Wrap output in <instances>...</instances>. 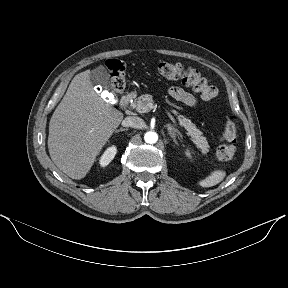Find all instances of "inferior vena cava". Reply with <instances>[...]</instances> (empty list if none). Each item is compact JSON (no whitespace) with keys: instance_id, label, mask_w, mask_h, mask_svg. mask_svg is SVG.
<instances>
[{"instance_id":"602c4592","label":"inferior vena cava","mask_w":288,"mask_h":288,"mask_svg":"<svg viewBox=\"0 0 288 288\" xmlns=\"http://www.w3.org/2000/svg\"><path fill=\"white\" fill-rule=\"evenodd\" d=\"M123 126L125 127H133V128H143L144 127V121L143 119L139 118V117H127L123 123Z\"/></svg>"}]
</instances>
